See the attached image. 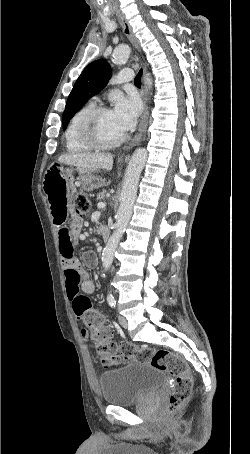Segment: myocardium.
I'll list each match as a JSON object with an SVG mask.
<instances>
[{"label": "myocardium", "instance_id": "f54148a6", "mask_svg": "<svg viewBox=\"0 0 250 454\" xmlns=\"http://www.w3.org/2000/svg\"><path fill=\"white\" fill-rule=\"evenodd\" d=\"M108 111H110V109L105 106L95 107L89 111L81 121L79 130L80 139L91 148L111 149L117 147L126 139L125 135L113 141H103L99 137L97 132L98 120L102 114Z\"/></svg>", "mask_w": 250, "mask_h": 454}]
</instances>
